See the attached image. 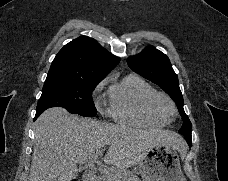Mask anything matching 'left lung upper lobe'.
<instances>
[{"mask_svg": "<svg viewBox=\"0 0 228 181\" xmlns=\"http://www.w3.org/2000/svg\"><path fill=\"white\" fill-rule=\"evenodd\" d=\"M127 63L134 72L160 86L175 101L183 120L179 133L190 134L192 124L184 112L178 77L169 58L153 46H148L140 54L129 57Z\"/></svg>", "mask_w": 228, "mask_h": 181, "instance_id": "1", "label": "left lung upper lobe"}]
</instances>
